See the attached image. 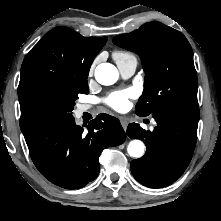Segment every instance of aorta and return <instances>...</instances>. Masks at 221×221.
Returning a JSON list of instances; mask_svg holds the SVG:
<instances>
[{
    "label": "aorta",
    "mask_w": 221,
    "mask_h": 221,
    "mask_svg": "<svg viewBox=\"0 0 221 221\" xmlns=\"http://www.w3.org/2000/svg\"><path fill=\"white\" fill-rule=\"evenodd\" d=\"M119 77L117 68L110 63H101L95 69V78L102 85H112ZM144 143L140 140H132L127 148L128 154L134 158H140L144 154Z\"/></svg>",
    "instance_id": "aorta-1"
}]
</instances>
